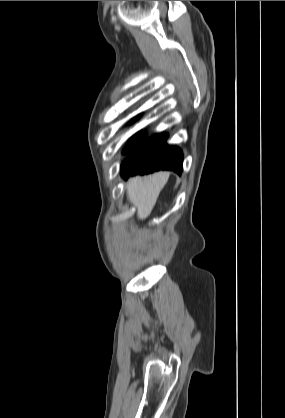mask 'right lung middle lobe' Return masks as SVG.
Here are the masks:
<instances>
[{
  "mask_svg": "<svg viewBox=\"0 0 285 418\" xmlns=\"http://www.w3.org/2000/svg\"><path fill=\"white\" fill-rule=\"evenodd\" d=\"M145 140V134L140 131L136 135H134L127 145V147L124 150V153H128L132 151L135 147H137L139 144H141Z\"/></svg>",
  "mask_w": 285,
  "mask_h": 418,
  "instance_id": "obj_1",
  "label": "right lung middle lobe"
}]
</instances>
